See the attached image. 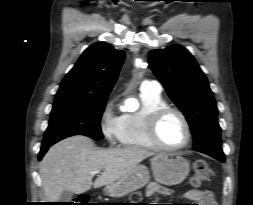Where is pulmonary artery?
Masks as SVG:
<instances>
[{
    "instance_id": "1",
    "label": "pulmonary artery",
    "mask_w": 253,
    "mask_h": 205,
    "mask_svg": "<svg viewBox=\"0 0 253 205\" xmlns=\"http://www.w3.org/2000/svg\"><path fill=\"white\" fill-rule=\"evenodd\" d=\"M141 91H152V92H161V85L157 81H143L140 86Z\"/></svg>"
}]
</instances>
